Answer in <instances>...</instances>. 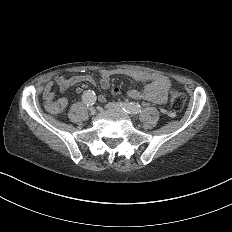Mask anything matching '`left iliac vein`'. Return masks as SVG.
<instances>
[{
    "mask_svg": "<svg viewBox=\"0 0 232 232\" xmlns=\"http://www.w3.org/2000/svg\"><path fill=\"white\" fill-rule=\"evenodd\" d=\"M106 110H114L115 112H120L121 110L117 109V105H115L113 102H108L105 104Z\"/></svg>",
    "mask_w": 232,
    "mask_h": 232,
    "instance_id": "left-iliac-vein-1",
    "label": "left iliac vein"
}]
</instances>
